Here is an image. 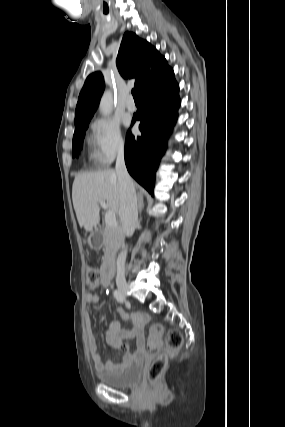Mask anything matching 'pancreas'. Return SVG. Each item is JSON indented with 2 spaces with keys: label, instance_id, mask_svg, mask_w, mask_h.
<instances>
[{
  "label": "pancreas",
  "instance_id": "1",
  "mask_svg": "<svg viewBox=\"0 0 285 427\" xmlns=\"http://www.w3.org/2000/svg\"><path fill=\"white\" fill-rule=\"evenodd\" d=\"M104 245L106 247V253L111 254L116 251L121 244V230L118 226L110 227L106 226L103 232Z\"/></svg>",
  "mask_w": 285,
  "mask_h": 427
}]
</instances>
